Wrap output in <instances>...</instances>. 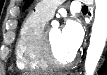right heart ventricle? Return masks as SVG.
<instances>
[{
  "mask_svg": "<svg viewBox=\"0 0 107 75\" xmlns=\"http://www.w3.org/2000/svg\"><path fill=\"white\" fill-rule=\"evenodd\" d=\"M48 19L38 12L30 13L24 20L15 46L16 65L20 70L44 72L50 66L43 57L41 37Z\"/></svg>",
  "mask_w": 107,
  "mask_h": 75,
  "instance_id": "right-heart-ventricle-1",
  "label": "right heart ventricle"
}]
</instances>
